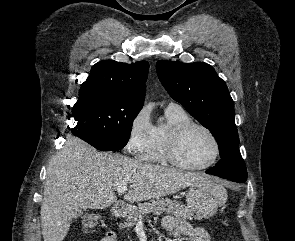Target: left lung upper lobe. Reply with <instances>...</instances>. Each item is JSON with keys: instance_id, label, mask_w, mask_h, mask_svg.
Segmentation results:
<instances>
[{"instance_id": "5c2ea615", "label": "left lung upper lobe", "mask_w": 295, "mask_h": 241, "mask_svg": "<svg viewBox=\"0 0 295 241\" xmlns=\"http://www.w3.org/2000/svg\"><path fill=\"white\" fill-rule=\"evenodd\" d=\"M156 70L170 96L215 137L221 160L208 170L228 180L245 182L247 170L239 151L234 102L224 80L204 62L160 60Z\"/></svg>"}]
</instances>
